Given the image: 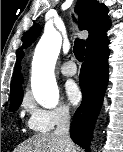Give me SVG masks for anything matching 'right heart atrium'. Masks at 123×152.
I'll list each match as a JSON object with an SVG mask.
<instances>
[{"instance_id": "d8ad5b80", "label": "right heart atrium", "mask_w": 123, "mask_h": 152, "mask_svg": "<svg viewBox=\"0 0 123 152\" xmlns=\"http://www.w3.org/2000/svg\"><path fill=\"white\" fill-rule=\"evenodd\" d=\"M25 108L28 112V126L35 132L51 131L55 126L68 121L71 117V110L65 105L46 109L37 106L31 100H26Z\"/></svg>"}]
</instances>
